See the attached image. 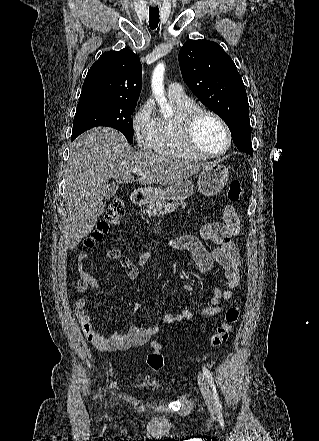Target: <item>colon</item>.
<instances>
[{"instance_id":"5ec220e1","label":"colon","mask_w":319,"mask_h":441,"mask_svg":"<svg viewBox=\"0 0 319 441\" xmlns=\"http://www.w3.org/2000/svg\"><path fill=\"white\" fill-rule=\"evenodd\" d=\"M228 199L233 203H241L246 200L245 190L239 181L233 180L229 183ZM124 213L125 203L123 198L120 196L114 197L107 208L104 220L99 223L92 236L86 240L85 246L91 248L100 242L104 236L110 233L111 226L116 225ZM239 314L238 307H231L227 310L225 321L210 336L209 342L212 347H220L228 341L233 327L239 318ZM152 347L154 351L147 356L146 362L152 370L158 371L164 366L162 348L156 341L152 342Z\"/></svg>"}]
</instances>
